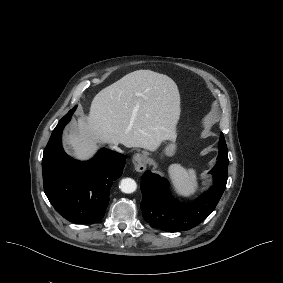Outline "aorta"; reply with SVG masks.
I'll use <instances>...</instances> for the list:
<instances>
[{"mask_svg": "<svg viewBox=\"0 0 283 283\" xmlns=\"http://www.w3.org/2000/svg\"><path fill=\"white\" fill-rule=\"evenodd\" d=\"M119 188L123 193H133L137 189V184L131 178H124L121 180Z\"/></svg>", "mask_w": 283, "mask_h": 283, "instance_id": "762f6f07", "label": "aorta"}]
</instances>
